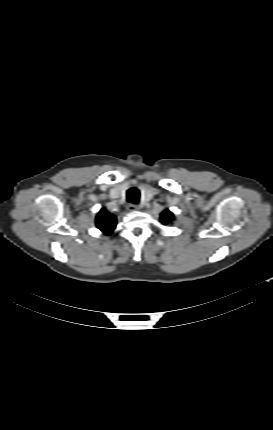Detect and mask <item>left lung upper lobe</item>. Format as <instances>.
<instances>
[{
    "instance_id": "obj_1",
    "label": "left lung upper lobe",
    "mask_w": 273,
    "mask_h": 430,
    "mask_svg": "<svg viewBox=\"0 0 273 430\" xmlns=\"http://www.w3.org/2000/svg\"><path fill=\"white\" fill-rule=\"evenodd\" d=\"M173 219H174V215H173V213H172V212H170L169 210H165V211L161 214V218H160L161 222H162L164 225L169 224L170 222H172V221H173Z\"/></svg>"
}]
</instances>
